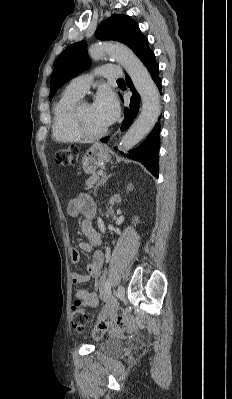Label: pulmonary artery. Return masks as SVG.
Returning a JSON list of instances; mask_svg holds the SVG:
<instances>
[{
    "instance_id": "e3ab8cb5",
    "label": "pulmonary artery",
    "mask_w": 232,
    "mask_h": 399,
    "mask_svg": "<svg viewBox=\"0 0 232 399\" xmlns=\"http://www.w3.org/2000/svg\"><path fill=\"white\" fill-rule=\"evenodd\" d=\"M96 68H100V65H96ZM105 71H101V74H105L107 80H120L121 75L117 63H108ZM94 78L90 77L89 73H78L77 81H70L68 83V89H65V96H89V89L85 84H93Z\"/></svg>"
}]
</instances>
